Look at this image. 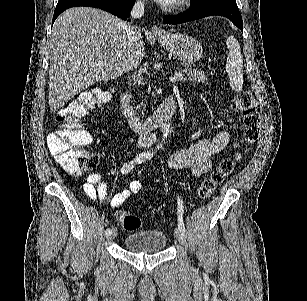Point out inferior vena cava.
<instances>
[{
    "instance_id": "602c4592",
    "label": "inferior vena cava",
    "mask_w": 307,
    "mask_h": 301,
    "mask_svg": "<svg viewBox=\"0 0 307 301\" xmlns=\"http://www.w3.org/2000/svg\"><path fill=\"white\" fill-rule=\"evenodd\" d=\"M144 10H145V0H136V2H134L133 4V8L130 14L132 18H141V16H143L144 14ZM125 28L129 42H132V40L134 42V40H136V36L140 34L139 26H136V24H125ZM132 60H133L132 50H128L125 56L126 68H128V72H130V70H132L133 68ZM128 80L130 84L131 82L130 76H128Z\"/></svg>"
}]
</instances>
